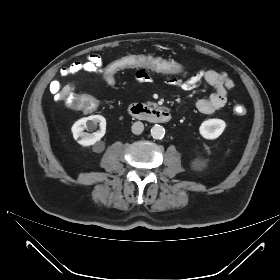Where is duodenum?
Returning a JSON list of instances; mask_svg holds the SVG:
<instances>
[{"label": "duodenum", "instance_id": "1", "mask_svg": "<svg viewBox=\"0 0 280 280\" xmlns=\"http://www.w3.org/2000/svg\"><path fill=\"white\" fill-rule=\"evenodd\" d=\"M129 114L133 118L149 121L152 123H167L171 120L172 115L165 108H154L142 103H133L128 108Z\"/></svg>", "mask_w": 280, "mask_h": 280}]
</instances>
